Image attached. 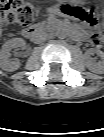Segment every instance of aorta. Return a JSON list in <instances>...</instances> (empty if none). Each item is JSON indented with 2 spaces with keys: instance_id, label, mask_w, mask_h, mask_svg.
Masks as SVG:
<instances>
[{
  "instance_id": "762f6f07",
  "label": "aorta",
  "mask_w": 104,
  "mask_h": 137,
  "mask_svg": "<svg viewBox=\"0 0 104 137\" xmlns=\"http://www.w3.org/2000/svg\"><path fill=\"white\" fill-rule=\"evenodd\" d=\"M68 36H69V32H68L67 29L62 28V29H59V30H58V37H59V38L65 39V38H67Z\"/></svg>"
}]
</instances>
